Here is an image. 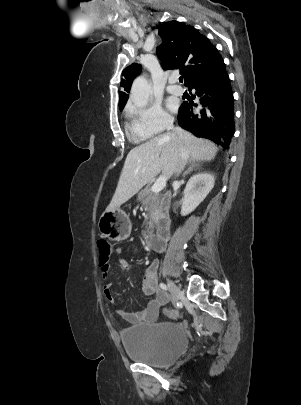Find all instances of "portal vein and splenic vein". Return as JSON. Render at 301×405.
I'll return each mask as SVG.
<instances>
[{"mask_svg":"<svg viewBox=\"0 0 301 405\" xmlns=\"http://www.w3.org/2000/svg\"><path fill=\"white\" fill-rule=\"evenodd\" d=\"M166 176L159 177L156 182L152 185L151 190L153 192H160L166 186Z\"/></svg>","mask_w":301,"mask_h":405,"instance_id":"obj_1","label":"portal vein and splenic vein"}]
</instances>
